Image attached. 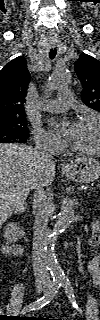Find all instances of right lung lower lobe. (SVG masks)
I'll return each instance as SVG.
<instances>
[{
	"label": "right lung lower lobe",
	"instance_id": "98d812e1",
	"mask_svg": "<svg viewBox=\"0 0 100 320\" xmlns=\"http://www.w3.org/2000/svg\"><path fill=\"white\" fill-rule=\"evenodd\" d=\"M1 142H3V143H14V142L24 143L26 141L25 140H21V139H8V140H3Z\"/></svg>",
	"mask_w": 100,
	"mask_h": 320
}]
</instances>
